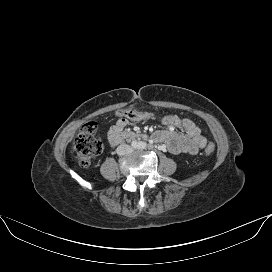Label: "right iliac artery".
<instances>
[{"instance_id": "right-iliac-artery-1", "label": "right iliac artery", "mask_w": 272, "mask_h": 272, "mask_svg": "<svg viewBox=\"0 0 272 272\" xmlns=\"http://www.w3.org/2000/svg\"><path fill=\"white\" fill-rule=\"evenodd\" d=\"M133 146H134V147H137L138 145H137V143L135 142Z\"/></svg>"}]
</instances>
